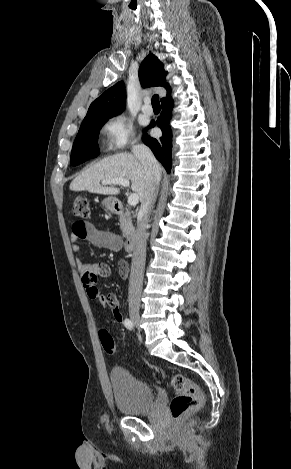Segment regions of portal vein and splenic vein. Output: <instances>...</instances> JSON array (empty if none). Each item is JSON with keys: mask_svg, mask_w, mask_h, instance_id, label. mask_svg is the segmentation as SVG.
<instances>
[{"mask_svg": "<svg viewBox=\"0 0 291 469\" xmlns=\"http://www.w3.org/2000/svg\"><path fill=\"white\" fill-rule=\"evenodd\" d=\"M102 184L106 185V184H114V185H121L123 187H129L130 185V182L129 180L127 179H124V178H116V179H111V180H107V181H103ZM139 202V196L138 194L136 193H133L131 194L129 197H128V204L130 206H136Z\"/></svg>", "mask_w": 291, "mask_h": 469, "instance_id": "1", "label": "portal vein and splenic vein"}]
</instances>
